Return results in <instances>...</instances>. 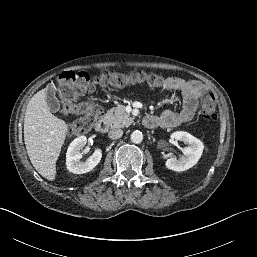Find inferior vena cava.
<instances>
[{
    "mask_svg": "<svg viewBox=\"0 0 257 257\" xmlns=\"http://www.w3.org/2000/svg\"><path fill=\"white\" fill-rule=\"evenodd\" d=\"M122 135L123 131L121 129H113L108 132V137L111 139H119Z\"/></svg>",
    "mask_w": 257,
    "mask_h": 257,
    "instance_id": "inferior-vena-cava-1",
    "label": "inferior vena cava"
}]
</instances>
